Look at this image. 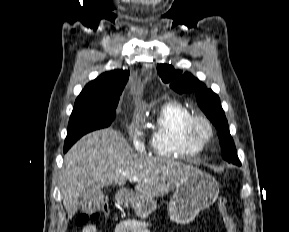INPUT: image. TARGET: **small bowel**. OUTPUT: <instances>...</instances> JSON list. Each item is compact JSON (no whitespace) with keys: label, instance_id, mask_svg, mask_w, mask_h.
I'll list each match as a JSON object with an SVG mask.
<instances>
[{"label":"small bowel","instance_id":"c3829d8e","mask_svg":"<svg viewBox=\"0 0 289 232\" xmlns=\"http://www.w3.org/2000/svg\"><path fill=\"white\" fill-rule=\"evenodd\" d=\"M81 232H99V230L95 225L89 224ZM115 232H150V226L139 221H124L116 226Z\"/></svg>","mask_w":289,"mask_h":232}]
</instances>
